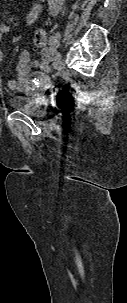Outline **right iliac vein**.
<instances>
[{
  "label": "right iliac vein",
  "instance_id": "obj_1",
  "mask_svg": "<svg viewBox=\"0 0 127 303\" xmlns=\"http://www.w3.org/2000/svg\"><path fill=\"white\" fill-rule=\"evenodd\" d=\"M60 63H61V54L57 53L53 61V67L57 68L60 65Z\"/></svg>",
  "mask_w": 127,
  "mask_h": 303
}]
</instances>
